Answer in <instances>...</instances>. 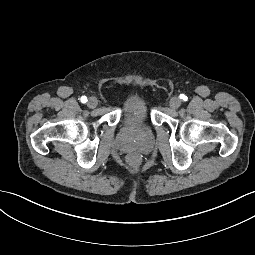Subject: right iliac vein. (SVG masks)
I'll return each mask as SVG.
<instances>
[{
    "instance_id": "right-iliac-vein-1",
    "label": "right iliac vein",
    "mask_w": 255,
    "mask_h": 255,
    "mask_svg": "<svg viewBox=\"0 0 255 255\" xmlns=\"http://www.w3.org/2000/svg\"><path fill=\"white\" fill-rule=\"evenodd\" d=\"M97 103H98V101L95 97H90L88 99L87 105H88L89 108H94V107L97 106Z\"/></svg>"
}]
</instances>
